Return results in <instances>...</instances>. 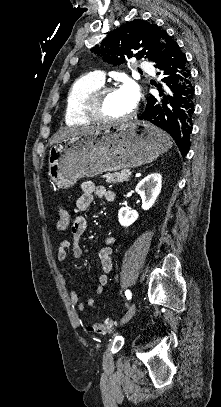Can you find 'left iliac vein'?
Instances as JSON below:
<instances>
[{
  "label": "left iliac vein",
  "instance_id": "obj_1",
  "mask_svg": "<svg viewBox=\"0 0 221 407\" xmlns=\"http://www.w3.org/2000/svg\"><path fill=\"white\" fill-rule=\"evenodd\" d=\"M135 311H136V305H135V303H132V304L129 306L128 311H127L125 317L123 318V320H122V322H121V325L127 323V322L133 317V315L135 314Z\"/></svg>",
  "mask_w": 221,
  "mask_h": 407
}]
</instances>
